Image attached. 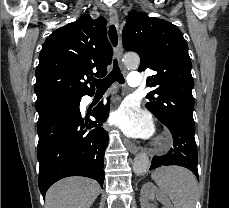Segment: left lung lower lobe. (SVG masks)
Instances as JSON below:
<instances>
[{
  "label": "left lung lower lobe",
  "instance_id": "left-lung-lower-lobe-1",
  "mask_svg": "<svg viewBox=\"0 0 229 208\" xmlns=\"http://www.w3.org/2000/svg\"><path fill=\"white\" fill-rule=\"evenodd\" d=\"M173 136V148L167 155L154 157L150 170L160 166L178 165L191 170L198 179V155L194 138L195 129L184 123H163Z\"/></svg>",
  "mask_w": 229,
  "mask_h": 208
}]
</instances>
